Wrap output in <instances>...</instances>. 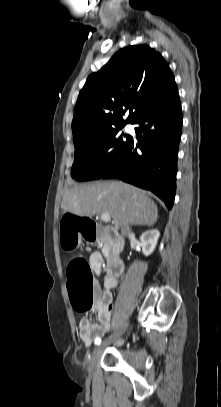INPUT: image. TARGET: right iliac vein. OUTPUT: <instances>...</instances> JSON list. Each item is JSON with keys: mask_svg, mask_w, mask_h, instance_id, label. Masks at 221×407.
<instances>
[{"mask_svg": "<svg viewBox=\"0 0 221 407\" xmlns=\"http://www.w3.org/2000/svg\"><path fill=\"white\" fill-rule=\"evenodd\" d=\"M128 326V320H126L122 326L109 338H107L103 343L99 344L93 351L90 363H89V370L92 371L99 360L104 348L114 342L119 336H121Z\"/></svg>", "mask_w": 221, "mask_h": 407, "instance_id": "obj_1", "label": "right iliac vein"}]
</instances>
